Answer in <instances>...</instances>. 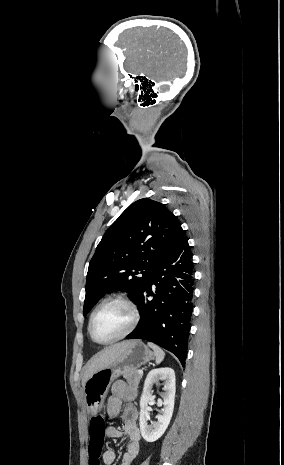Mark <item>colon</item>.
Listing matches in <instances>:
<instances>
[{
  "instance_id": "colon-1",
  "label": "colon",
  "mask_w": 284,
  "mask_h": 465,
  "mask_svg": "<svg viewBox=\"0 0 284 465\" xmlns=\"http://www.w3.org/2000/svg\"><path fill=\"white\" fill-rule=\"evenodd\" d=\"M94 421H88V436L91 438L90 446H87L86 453L88 455V465H100L101 464V448H104L105 434L108 432V427L105 424V421L102 420V415L100 413H95L93 415Z\"/></svg>"
}]
</instances>
